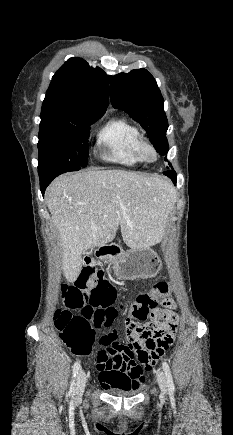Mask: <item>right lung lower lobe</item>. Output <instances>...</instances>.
Returning a JSON list of instances; mask_svg holds the SVG:
<instances>
[{"instance_id":"98d812e1","label":"right lung lower lobe","mask_w":233,"mask_h":435,"mask_svg":"<svg viewBox=\"0 0 233 435\" xmlns=\"http://www.w3.org/2000/svg\"><path fill=\"white\" fill-rule=\"evenodd\" d=\"M62 173H63L62 171H54L51 173L39 175V177H40V189H41V192L43 195H44V192H45L47 186L51 183V181L55 177H57L58 175H60Z\"/></svg>"}]
</instances>
